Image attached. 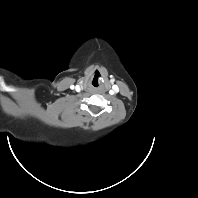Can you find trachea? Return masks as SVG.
Instances as JSON below:
<instances>
[{
  "instance_id": "1",
  "label": "trachea",
  "mask_w": 198,
  "mask_h": 198,
  "mask_svg": "<svg viewBox=\"0 0 198 198\" xmlns=\"http://www.w3.org/2000/svg\"><path fill=\"white\" fill-rule=\"evenodd\" d=\"M95 82H96V84H97V80H95ZM93 83H94V81H93Z\"/></svg>"
}]
</instances>
